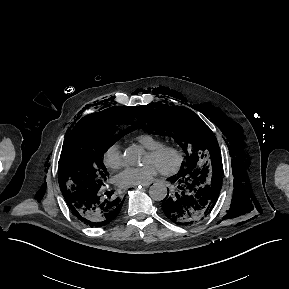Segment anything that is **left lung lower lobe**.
Wrapping results in <instances>:
<instances>
[{"instance_id":"left-lung-lower-lobe-1","label":"left lung lower lobe","mask_w":289,"mask_h":289,"mask_svg":"<svg viewBox=\"0 0 289 289\" xmlns=\"http://www.w3.org/2000/svg\"><path fill=\"white\" fill-rule=\"evenodd\" d=\"M220 171L208 175L194 171L168 180L177 185L176 192L162 200L165 216L177 225L188 226L203 220L212 211L222 187ZM169 191V189H168Z\"/></svg>"}]
</instances>
